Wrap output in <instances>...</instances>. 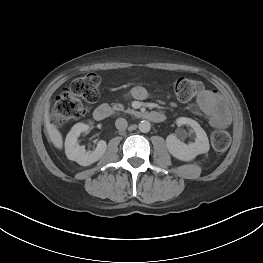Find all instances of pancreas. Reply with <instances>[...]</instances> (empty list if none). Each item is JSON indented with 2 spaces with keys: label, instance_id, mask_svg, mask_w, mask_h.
Returning a JSON list of instances; mask_svg holds the SVG:
<instances>
[{
  "label": "pancreas",
  "instance_id": "1",
  "mask_svg": "<svg viewBox=\"0 0 263 263\" xmlns=\"http://www.w3.org/2000/svg\"><path fill=\"white\" fill-rule=\"evenodd\" d=\"M112 108H113V110L124 111V112L130 113V114H135V113H136V111H134L133 109L124 110L123 105L120 104V103H115V104H113Z\"/></svg>",
  "mask_w": 263,
  "mask_h": 263
}]
</instances>
